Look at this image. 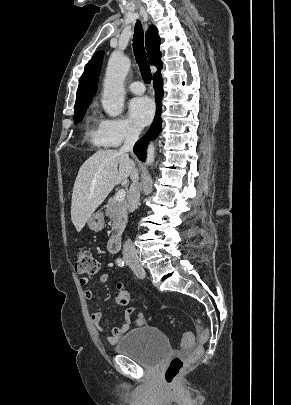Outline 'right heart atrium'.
Segmentation results:
<instances>
[{
  "instance_id": "d8ad5b80",
  "label": "right heart atrium",
  "mask_w": 291,
  "mask_h": 405,
  "mask_svg": "<svg viewBox=\"0 0 291 405\" xmlns=\"http://www.w3.org/2000/svg\"><path fill=\"white\" fill-rule=\"evenodd\" d=\"M101 139L107 147H118L138 138L139 129L128 119L102 118L99 122Z\"/></svg>"
}]
</instances>
